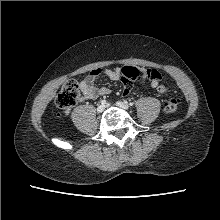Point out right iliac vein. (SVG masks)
<instances>
[{"label": "right iliac vein", "instance_id": "63e3f726", "mask_svg": "<svg viewBox=\"0 0 220 220\" xmlns=\"http://www.w3.org/2000/svg\"><path fill=\"white\" fill-rule=\"evenodd\" d=\"M104 109H105V105H103V104H100V105L97 106V112L98 113H102L104 111Z\"/></svg>", "mask_w": 220, "mask_h": 220}]
</instances>
